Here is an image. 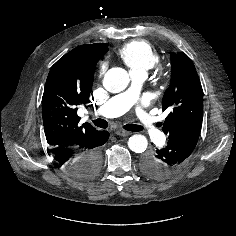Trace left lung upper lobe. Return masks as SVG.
Masks as SVG:
<instances>
[{
  "mask_svg": "<svg viewBox=\"0 0 236 236\" xmlns=\"http://www.w3.org/2000/svg\"><path fill=\"white\" fill-rule=\"evenodd\" d=\"M171 81L162 99V109L171 112L163 123L168 138L189 130H201L203 90L193 62L185 53H171Z\"/></svg>",
  "mask_w": 236,
  "mask_h": 236,
  "instance_id": "1",
  "label": "left lung upper lobe"
}]
</instances>
